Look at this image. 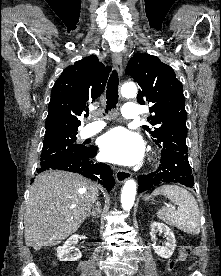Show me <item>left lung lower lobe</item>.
<instances>
[{
  "mask_svg": "<svg viewBox=\"0 0 221 276\" xmlns=\"http://www.w3.org/2000/svg\"><path fill=\"white\" fill-rule=\"evenodd\" d=\"M191 172L187 152L162 150L158 170L138 177V193L162 183H180L192 188L194 180Z\"/></svg>",
  "mask_w": 221,
  "mask_h": 276,
  "instance_id": "0a47b994",
  "label": "left lung lower lobe"
}]
</instances>
